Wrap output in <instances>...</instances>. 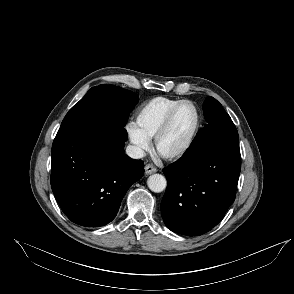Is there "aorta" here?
<instances>
[{
  "mask_svg": "<svg viewBox=\"0 0 294 294\" xmlns=\"http://www.w3.org/2000/svg\"><path fill=\"white\" fill-rule=\"evenodd\" d=\"M147 185L153 192H162L167 185L166 178L161 174H153L147 179Z\"/></svg>",
  "mask_w": 294,
  "mask_h": 294,
  "instance_id": "obj_1",
  "label": "aorta"
}]
</instances>
